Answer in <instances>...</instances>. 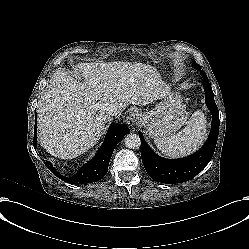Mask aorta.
<instances>
[{"label":"aorta","instance_id":"aorta-1","mask_svg":"<svg viewBox=\"0 0 249 249\" xmlns=\"http://www.w3.org/2000/svg\"><path fill=\"white\" fill-rule=\"evenodd\" d=\"M124 144L129 149H138L141 141L137 134L129 133L124 138Z\"/></svg>","mask_w":249,"mask_h":249}]
</instances>
